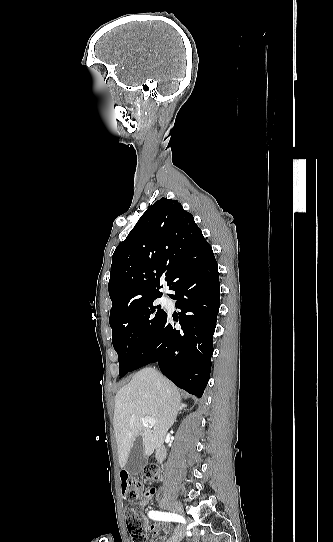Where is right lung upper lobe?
I'll return each instance as SVG.
<instances>
[{"label": "right lung upper lobe", "instance_id": "right-lung-upper-lobe-1", "mask_svg": "<svg viewBox=\"0 0 333 542\" xmlns=\"http://www.w3.org/2000/svg\"><path fill=\"white\" fill-rule=\"evenodd\" d=\"M204 239L177 200L161 198L150 206L113 254L110 319L161 297L160 279L165 277L169 289L178 280L180 249Z\"/></svg>", "mask_w": 333, "mask_h": 542}]
</instances>
